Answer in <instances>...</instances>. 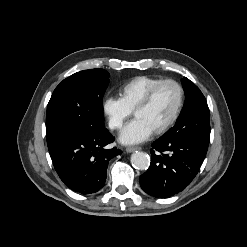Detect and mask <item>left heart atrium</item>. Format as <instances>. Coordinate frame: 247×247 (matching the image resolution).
I'll return each mask as SVG.
<instances>
[{
  "mask_svg": "<svg viewBox=\"0 0 247 247\" xmlns=\"http://www.w3.org/2000/svg\"><path fill=\"white\" fill-rule=\"evenodd\" d=\"M152 133L143 121L135 118L123 128L119 139L123 144H137L148 140Z\"/></svg>",
  "mask_w": 247,
  "mask_h": 247,
  "instance_id": "left-heart-atrium-1",
  "label": "left heart atrium"
}]
</instances>
